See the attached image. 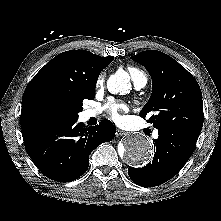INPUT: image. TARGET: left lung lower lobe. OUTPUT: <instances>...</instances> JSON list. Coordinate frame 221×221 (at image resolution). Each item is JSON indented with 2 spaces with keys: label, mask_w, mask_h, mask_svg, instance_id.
<instances>
[{
  "label": "left lung lower lobe",
  "mask_w": 221,
  "mask_h": 221,
  "mask_svg": "<svg viewBox=\"0 0 221 221\" xmlns=\"http://www.w3.org/2000/svg\"><path fill=\"white\" fill-rule=\"evenodd\" d=\"M197 139L173 130L159 131L153 161L143 168L128 169L131 180L144 187H154L175 176L190 158Z\"/></svg>",
  "instance_id": "1"
}]
</instances>
